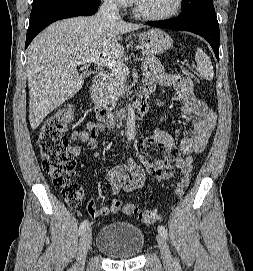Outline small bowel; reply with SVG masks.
<instances>
[{
    "instance_id": "c3829d8e",
    "label": "small bowel",
    "mask_w": 253,
    "mask_h": 271,
    "mask_svg": "<svg viewBox=\"0 0 253 271\" xmlns=\"http://www.w3.org/2000/svg\"><path fill=\"white\" fill-rule=\"evenodd\" d=\"M157 86L171 87L176 90L177 96L182 103L181 111L184 116L192 118L191 133L185 136L176 146L173 135L161 130L160 125L170 118L172 114H163L153 132L142 143V148L147 150L158 144L165 148L164 155L160 160H152L142 157L140 164L131 161L127 165H117L108 173V181L113 194L120 191L131 192L139 189L145 182V173L155 180H166L170 178L175 170L183 174H189L192 170L193 155L204 151L216 125L215 113L193 92L194 79L191 76L180 74L161 73L150 75L146 79L145 91L150 94ZM101 127L93 122L86 124L84 130H77L71 134L73 140H79L87 145L89 149H97L100 145L98 139ZM68 151L73 156H80L83 151L81 144L71 145ZM180 152L183 157L180 156ZM91 207L87 206L92 217L107 216L111 214L109 207H97L93 202ZM88 203V204H89Z\"/></svg>"
}]
</instances>
